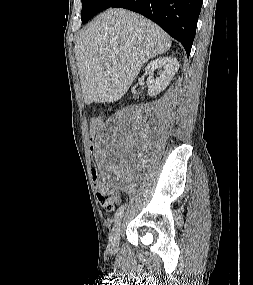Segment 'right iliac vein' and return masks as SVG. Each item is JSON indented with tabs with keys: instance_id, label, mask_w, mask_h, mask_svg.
Returning <instances> with one entry per match:
<instances>
[{
	"instance_id": "right-iliac-vein-1",
	"label": "right iliac vein",
	"mask_w": 253,
	"mask_h": 285,
	"mask_svg": "<svg viewBox=\"0 0 253 285\" xmlns=\"http://www.w3.org/2000/svg\"><path fill=\"white\" fill-rule=\"evenodd\" d=\"M121 228L122 222L119 221L112 229L109 237V249L111 252H117L118 250Z\"/></svg>"
}]
</instances>
